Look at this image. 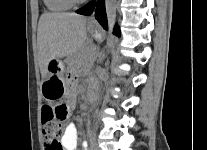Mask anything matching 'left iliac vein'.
<instances>
[{
    "mask_svg": "<svg viewBox=\"0 0 207 150\" xmlns=\"http://www.w3.org/2000/svg\"><path fill=\"white\" fill-rule=\"evenodd\" d=\"M89 150H100V149H99L98 146L96 145L95 141H92V142L90 143Z\"/></svg>",
    "mask_w": 207,
    "mask_h": 150,
    "instance_id": "left-iliac-vein-1",
    "label": "left iliac vein"
}]
</instances>
